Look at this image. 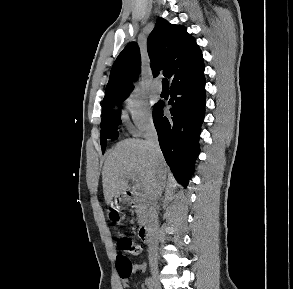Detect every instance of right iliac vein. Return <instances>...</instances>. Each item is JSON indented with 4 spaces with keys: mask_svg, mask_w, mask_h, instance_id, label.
<instances>
[{
    "mask_svg": "<svg viewBox=\"0 0 293 289\" xmlns=\"http://www.w3.org/2000/svg\"><path fill=\"white\" fill-rule=\"evenodd\" d=\"M151 279L153 282V289H161V285L159 282V275L156 266L152 268Z\"/></svg>",
    "mask_w": 293,
    "mask_h": 289,
    "instance_id": "obj_1",
    "label": "right iliac vein"
}]
</instances>
